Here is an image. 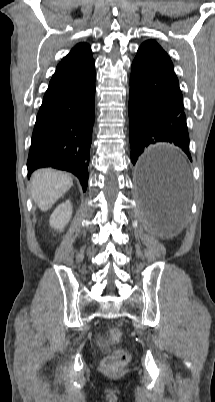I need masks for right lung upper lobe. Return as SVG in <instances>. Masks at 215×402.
Segmentation results:
<instances>
[{
  "label": "right lung upper lobe",
  "mask_w": 215,
  "mask_h": 402,
  "mask_svg": "<svg viewBox=\"0 0 215 402\" xmlns=\"http://www.w3.org/2000/svg\"><path fill=\"white\" fill-rule=\"evenodd\" d=\"M91 47L78 43L57 65L43 100L55 97L74 89L95 74Z\"/></svg>",
  "instance_id": "cb5924a9"
}]
</instances>
